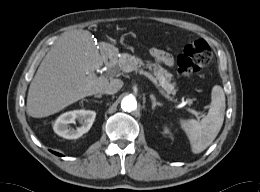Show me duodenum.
Listing matches in <instances>:
<instances>
[{
  "mask_svg": "<svg viewBox=\"0 0 260 192\" xmlns=\"http://www.w3.org/2000/svg\"><path fill=\"white\" fill-rule=\"evenodd\" d=\"M114 60H115V58L112 57V56H107L105 58V62H106L107 65H112L114 63Z\"/></svg>",
  "mask_w": 260,
  "mask_h": 192,
  "instance_id": "obj_1",
  "label": "duodenum"
}]
</instances>
